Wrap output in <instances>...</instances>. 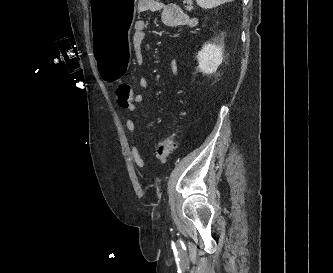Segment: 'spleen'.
<instances>
[{
  "label": "spleen",
  "instance_id": "1",
  "mask_svg": "<svg viewBox=\"0 0 333 273\" xmlns=\"http://www.w3.org/2000/svg\"><path fill=\"white\" fill-rule=\"evenodd\" d=\"M234 0H196L197 4L204 9H211Z\"/></svg>",
  "mask_w": 333,
  "mask_h": 273
}]
</instances>
